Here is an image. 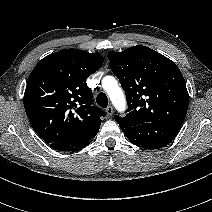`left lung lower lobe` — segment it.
Returning a JSON list of instances; mask_svg holds the SVG:
<instances>
[{"label": "left lung lower lobe", "instance_id": "1", "mask_svg": "<svg viewBox=\"0 0 212 212\" xmlns=\"http://www.w3.org/2000/svg\"><path fill=\"white\" fill-rule=\"evenodd\" d=\"M181 125L167 122H142L122 129L127 138L144 149L167 146L178 134Z\"/></svg>", "mask_w": 212, "mask_h": 212}]
</instances>
